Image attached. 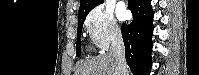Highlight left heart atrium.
I'll use <instances>...</instances> for the list:
<instances>
[{
	"mask_svg": "<svg viewBox=\"0 0 199 75\" xmlns=\"http://www.w3.org/2000/svg\"><path fill=\"white\" fill-rule=\"evenodd\" d=\"M118 15L120 17V19H125L126 16H127V13H126V10L121 8L119 11H118Z\"/></svg>",
	"mask_w": 199,
	"mask_h": 75,
	"instance_id": "39dd6f15",
	"label": "left heart atrium"
}]
</instances>
